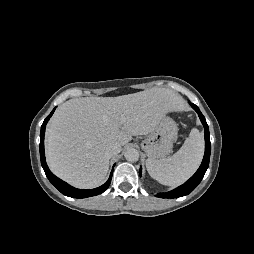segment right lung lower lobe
I'll return each mask as SVG.
<instances>
[{"mask_svg":"<svg viewBox=\"0 0 254 254\" xmlns=\"http://www.w3.org/2000/svg\"><path fill=\"white\" fill-rule=\"evenodd\" d=\"M55 108L53 109V111L50 113V115L44 120L42 126H41V132H40V159H41V165L45 171V174L47 176V178L49 179V181L64 195L68 196V197H73V198H86V197H91V196H95L98 194L103 193L105 190H107V188L110 185L111 182V178H112V173L110 174V177L108 179V181L103 184L102 186L95 188V189H90V190H82V189H77L74 188L72 186H70L69 184H67L66 182L62 181L61 179H59L58 177H56L48 168L46 161H45V152H44V135H45V127L46 124L48 122V120L50 119V117L52 116V114L54 113Z\"/></svg>","mask_w":254,"mask_h":254,"instance_id":"98d812e1","label":"right lung lower lobe"}]
</instances>
